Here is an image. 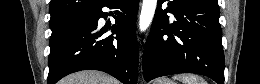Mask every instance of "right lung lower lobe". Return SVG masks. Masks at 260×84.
<instances>
[{
	"mask_svg": "<svg viewBox=\"0 0 260 84\" xmlns=\"http://www.w3.org/2000/svg\"><path fill=\"white\" fill-rule=\"evenodd\" d=\"M103 7L115 9L116 23L112 34L100 38L99 18L106 19ZM139 0H104L87 16L84 23L72 28L51 47L48 58V84H55L64 76L81 70L104 71L123 84H136L138 76V48L135 23Z\"/></svg>",
	"mask_w": 260,
	"mask_h": 84,
	"instance_id": "right-lung-lower-lobe-1",
	"label": "right lung lower lobe"
}]
</instances>
